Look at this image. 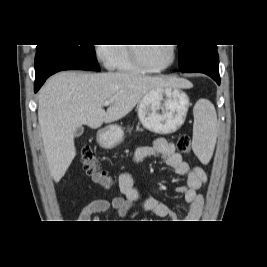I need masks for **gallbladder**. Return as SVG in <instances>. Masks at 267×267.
Returning <instances> with one entry per match:
<instances>
[{"instance_id":"obj_1","label":"gallbladder","mask_w":267,"mask_h":267,"mask_svg":"<svg viewBox=\"0 0 267 267\" xmlns=\"http://www.w3.org/2000/svg\"><path fill=\"white\" fill-rule=\"evenodd\" d=\"M83 131H84V128H83V127H78V128L76 129V131H75V137H79V136H81L82 133H83Z\"/></svg>"}]
</instances>
